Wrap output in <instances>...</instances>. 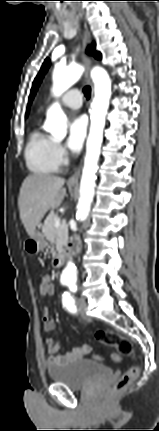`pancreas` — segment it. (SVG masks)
Here are the masks:
<instances>
[{
	"mask_svg": "<svg viewBox=\"0 0 159 431\" xmlns=\"http://www.w3.org/2000/svg\"><path fill=\"white\" fill-rule=\"evenodd\" d=\"M56 218H58L57 214L51 211L47 216L42 228L44 236L51 242V244L55 245V247H51V253L53 255L56 254V250L62 249V247L67 243L68 239L67 226L62 223L59 227H56Z\"/></svg>",
	"mask_w": 159,
	"mask_h": 431,
	"instance_id": "cf45deb5",
	"label": "pancreas"
}]
</instances>
